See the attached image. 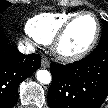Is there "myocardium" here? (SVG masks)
<instances>
[{
	"label": "myocardium",
	"mask_w": 108,
	"mask_h": 108,
	"mask_svg": "<svg viewBox=\"0 0 108 108\" xmlns=\"http://www.w3.org/2000/svg\"><path fill=\"white\" fill-rule=\"evenodd\" d=\"M90 16L95 22V33L90 43L78 52H66L62 49V43L65 40L71 27L82 17ZM100 23L95 14L91 12H80L70 18L58 31L52 41V49L55 55L62 61L74 62L86 57L95 47L100 36Z\"/></svg>",
	"instance_id": "obj_1"
}]
</instances>
